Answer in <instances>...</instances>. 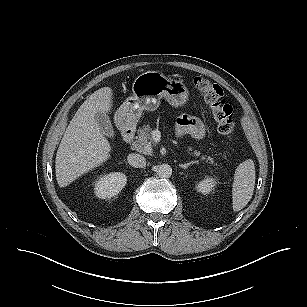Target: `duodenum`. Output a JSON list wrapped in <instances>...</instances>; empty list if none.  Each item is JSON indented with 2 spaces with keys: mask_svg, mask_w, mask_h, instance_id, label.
I'll return each mask as SVG.
<instances>
[{
  "mask_svg": "<svg viewBox=\"0 0 307 307\" xmlns=\"http://www.w3.org/2000/svg\"><path fill=\"white\" fill-rule=\"evenodd\" d=\"M123 137H124V141L127 144H131L134 140V137H135V131L134 130H127V131H125Z\"/></svg>",
  "mask_w": 307,
  "mask_h": 307,
  "instance_id": "1",
  "label": "duodenum"
}]
</instances>
